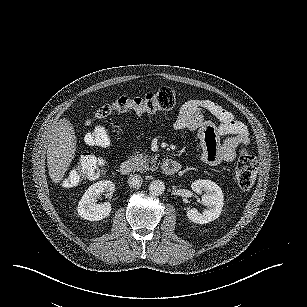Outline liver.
<instances>
[{"label":"liver","instance_id":"1","mask_svg":"<svg viewBox=\"0 0 307 307\" xmlns=\"http://www.w3.org/2000/svg\"><path fill=\"white\" fill-rule=\"evenodd\" d=\"M74 128L66 118L60 119L54 129L47 148V167L54 183H60L76 152Z\"/></svg>","mask_w":307,"mask_h":307}]
</instances>
